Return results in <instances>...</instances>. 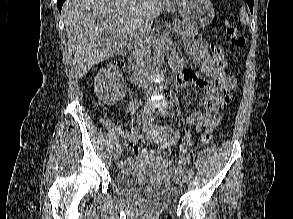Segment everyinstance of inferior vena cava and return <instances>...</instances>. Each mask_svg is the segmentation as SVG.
Returning a JSON list of instances; mask_svg holds the SVG:
<instances>
[{
  "label": "inferior vena cava",
  "instance_id": "1",
  "mask_svg": "<svg viewBox=\"0 0 293 219\" xmlns=\"http://www.w3.org/2000/svg\"><path fill=\"white\" fill-rule=\"evenodd\" d=\"M143 0H137L140 5ZM134 60L136 63L135 75L147 77L151 72L150 47L148 42V32L139 27L134 38Z\"/></svg>",
  "mask_w": 293,
  "mask_h": 219
}]
</instances>
